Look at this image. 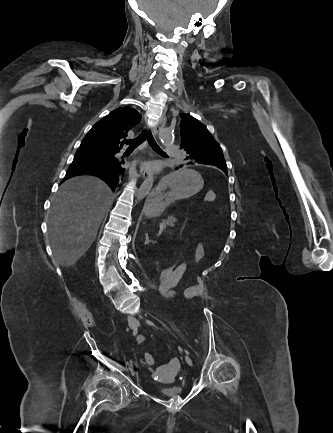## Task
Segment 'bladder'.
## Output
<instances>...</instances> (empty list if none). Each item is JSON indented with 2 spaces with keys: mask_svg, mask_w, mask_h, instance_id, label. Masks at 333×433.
Wrapping results in <instances>:
<instances>
[{
  "mask_svg": "<svg viewBox=\"0 0 333 433\" xmlns=\"http://www.w3.org/2000/svg\"><path fill=\"white\" fill-rule=\"evenodd\" d=\"M158 392L165 398L179 397L183 394V387L181 385H171L160 388Z\"/></svg>",
  "mask_w": 333,
  "mask_h": 433,
  "instance_id": "obj_1",
  "label": "bladder"
}]
</instances>
